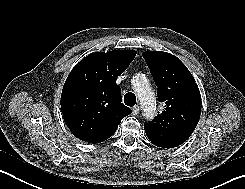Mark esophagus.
<instances>
[{
  "label": "esophagus",
  "instance_id": "esophagus-1",
  "mask_svg": "<svg viewBox=\"0 0 245 189\" xmlns=\"http://www.w3.org/2000/svg\"><path fill=\"white\" fill-rule=\"evenodd\" d=\"M132 110H133V114H134V115H137V114L139 113V111H140V107H139L138 105H135V106L132 108Z\"/></svg>",
  "mask_w": 245,
  "mask_h": 189
}]
</instances>
